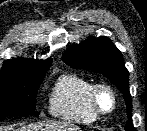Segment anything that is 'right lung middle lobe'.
I'll list each match as a JSON object with an SVG mask.
<instances>
[{"mask_svg":"<svg viewBox=\"0 0 147 131\" xmlns=\"http://www.w3.org/2000/svg\"><path fill=\"white\" fill-rule=\"evenodd\" d=\"M46 71L31 74L0 73V119L35 111L36 94Z\"/></svg>","mask_w":147,"mask_h":131,"instance_id":"obj_1","label":"right lung middle lobe"}]
</instances>
